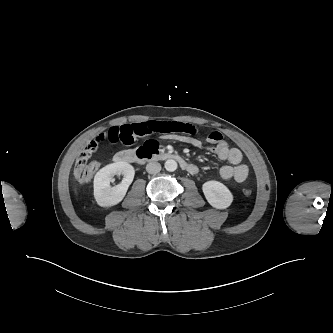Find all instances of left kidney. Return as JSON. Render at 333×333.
Segmentation results:
<instances>
[{
    "instance_id": "1",
    "label": "left kidney",
    "mask_w": 333,
    "mask_h": 333,
    "mask_svg": "<svg viewBox=\"0 0 333 333\" xmlns=\"http://www.w3.org/2000/svg\"><path fill=\"white\" fill-rule=\"evenodd\" d=\"M202 190L208 203L216 209H226L233 201L230 190L219 181L205 182Z\"/></svg>"
}]
</instances>
